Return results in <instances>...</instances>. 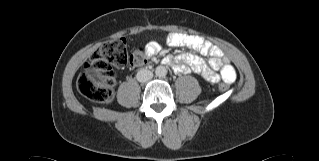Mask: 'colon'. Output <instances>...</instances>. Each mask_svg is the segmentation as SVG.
I'll list each match as a JSON object with an SVG mask.
<instances>
[{
  "label": "colon",
  "mask_w": 319,
  "mask_h": 161,
  "mask_svg": "<svg viewBox=\"0 0 319 161\" xmlns=\"http://www.w3.org/2000/svg\"><path fill=\"white\" fill-rule=\"evenodd\" d=\"M126 44L125 38H113L92 54L77 79V89L82 95L99 103L112 101L115 86L112 66L123 68L142 64L145 60V56L139 51L129 55ZM219 89L225 92L228 85L221 83Z\"/></svg>",
  "instance_id": "5ec220e1"
}]
</instances>
